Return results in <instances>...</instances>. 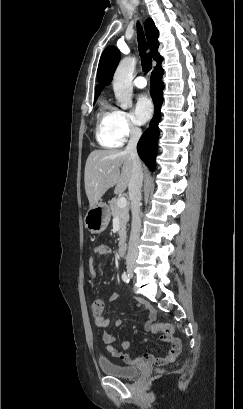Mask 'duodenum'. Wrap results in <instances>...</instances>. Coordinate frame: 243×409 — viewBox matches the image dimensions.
<instances>
[{"mask_svg":"<svg viewBox=\"0 0 243 409\" xmlns=\"http://www.w3.org/2000/svg\"><path fill=\"white\" fill-rule=\"evenodd\" d=\"M126 251H127L126 244H125V243H121V244L119 245V247H118V254H119L120 256H125V255H126Z\"/></svg>","mask_w":243,"mask_h":409,"instance_id":"duodenum-1","label":"duodenum"}]
</instances>
